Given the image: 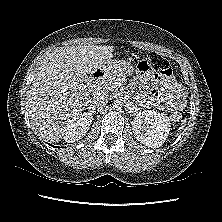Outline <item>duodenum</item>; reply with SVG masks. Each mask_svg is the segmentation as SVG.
Returning a JSON list of instances; mask_svg holds the SVG:
<instances>
[{"mask_svg": "<svg viewBox=\"0 0 222 222\" xmlns=\"http://www.w3.org/2000/svg\"><path fill=\"white\" fill-rule=\"evenodd\" d=\"M105 76L106 72L104 69L102 68L97 69L90 77V86L92 88H95L96 86L99 85V83L104 79Z\"/></svg>", "mask_w": 222, "mask_h": 222, "instance_id": "1", "label": "duodenum"}]
</instances>
